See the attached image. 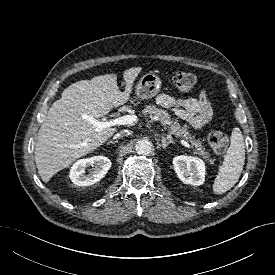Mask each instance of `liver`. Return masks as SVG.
Here are the masks:
<instances>
[{
	"mask_svg": "<svg viewBox=\"0 0 275 275\" xmlns=\"http://www.w3.org/2000/svg\"><path fill=\"white\" fill-rule=\"evenodd\" d=\"M141 70V67H133L124 71L126 86L123 92L113 73L78 81L62 92L38 131L34 154L42 181L48 182L57 172L94 151L117 132L113 127L97 131L82 116L99 119L128 101L133 82Z\"/></svg>",
	"mask_w": 275,
	"mask_h": 275,
	"instance_id": "liver-1",
	"label": "liver"
}]
</instances>
